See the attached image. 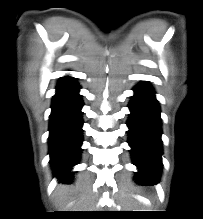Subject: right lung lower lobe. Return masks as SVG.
Here are the masks:
<instances>
[{
    "instance_id": "98d812e1",
    "label": "right lung lower lobe",
    "mask_w": 203,
    "mask_h": 219,
    "mask_svg": "<svg viewBox=\"0 0 203 219\" xmlns=\"http://www.w3.org/2000/svg\"><path fill=\"white\" fill-rule=\"evenodd\" d=\"M80 86L72 77L60 78L52 99L49 123L50 164L55 176L72 180L71 168L80 158L82 138Z\"/></svg>"
}]
</instances>
